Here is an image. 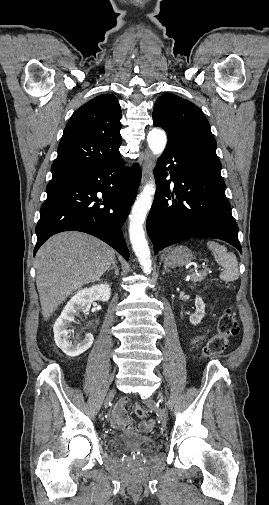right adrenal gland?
Masks as SVG:
<instances>
[{"label": "right adrenal gland", "instance_id": "obj_1", "mask_svg": "<svg viewBox=\"0 0 269 505\" xmlns=\"http://www.w3.org/2000/svg\"><path fill=\"white\" fill-rule=\"evenodd\" d=\"M113 269L115 270V275L119 276V269L116 265V259L113 261L112 266L108 268L107 272L109 273Z\"/></svg>", "mask_w": 269, "mask_h": 505}]
</instances>
